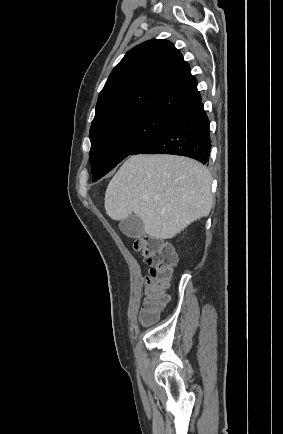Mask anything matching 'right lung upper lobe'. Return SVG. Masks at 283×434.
<instances>
[{
    "mask_svg": "<svg viewBox=\"0 0 283 434\" xmlns=\"http://www.w3.org/2000/svg\"><path fill=\"white\" fill-rule=\"evenodd\" d=\"M202 100L189 64L168 40L152 39L126 53L99 94L91 127L147 112L173 119Z\"/></svg>",
    "mask_w": 283,
    "mask_h": 434,
    "instance_id": "cb5924a9",
    "label": "right lung upper lobe"
}]
</instances>
